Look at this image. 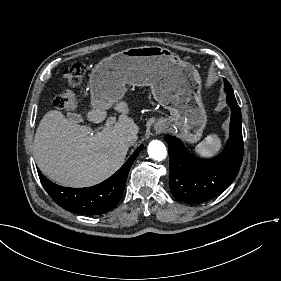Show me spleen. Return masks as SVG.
I'll use <instances>...</instances> for the list:
<instances>
[{
	"mask_svg": "<svg viewBox=\"0 0 281 281\" xmlns=\"http://www.w3.org/2000/svg\"><path fill=\"white\" fill-rule=\"evenodd\" d=\"M223 147L221 137L214 133L193 148L196 156L201 159H211L219 155Z\"/></svg>",
	"mask_w": 281,
	"mask_h": 281,
	"instance_id": "1",
	"label": "spleen"
}]
</instances>
